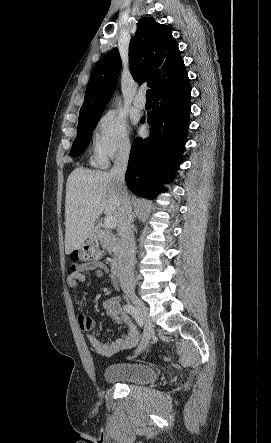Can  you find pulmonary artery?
I'll return each mask as SVG.
<instances>
[{
    "instance_id": "e3ab8cb5",
    "label": "pulmonary artery",
    "mask_w": 271,
    "mask_h": 443,
    "mask_svg": "<svg viewBox=\"0 0 271 443\" xmlns=\"http://www.w3.org/2000/svg\"><path fill=\"white\" fill-rule=\"evenodd\" d=\"M146 95L144 90H139L134 97L133 104L136 108L143 110L146 107Z\"/></svg>"
}]
</instances>
